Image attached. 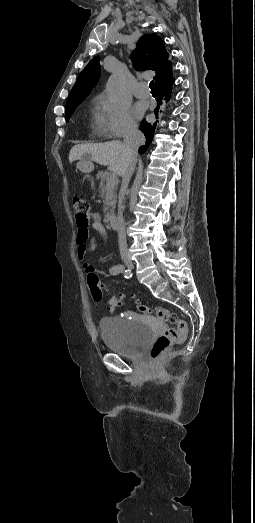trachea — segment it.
I'll return each instance as SVG.
<instances>
[{
	"label": "trachea",
	"mask_w": 255,
	"mask_h": 523,
	"mask_svg": "<svg viewBox=\"0 0 255 523\" xmlns=\"http://www.w3.org/2000/svg\"><path fill=\"white\" fill-rule=\"evenodd\" d=\"M149 87L151 91H155V84L153 80L150 82Z\"/></svg>",
	"instance_id": "trachea-1"
}]
</instances>
